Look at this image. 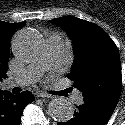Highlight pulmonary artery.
Here are the masks:
<instances>
[{
  "instance_id": "1",
  "label": "pulmonary artery",
  "mask_w": 125,
  "mask_h": 125,
  "mask_svg": "<svg viewBox=\"0 0 125 125\" xmlns=\"http://www.w3.org/2000/svg\"><path fill=\"white\" fill-rule=\"evenodd\" d=\"M67 49L63 36L59 33L50 34L46 37L45 46L38 58L30 63L21 73L9 81L11 86H27L37 82L45 72L56 76L63 63ZM76 104L83 102L81 93L74 97Z\"/></svg>"
}]
</instances>
